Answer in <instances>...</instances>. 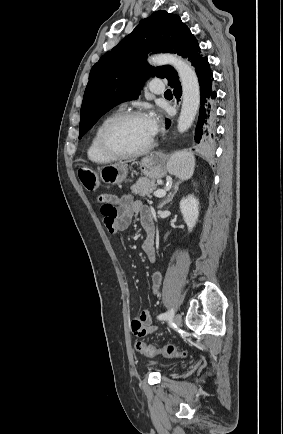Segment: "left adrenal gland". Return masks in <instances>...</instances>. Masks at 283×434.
I'll return each mask as SVG.
<instances>
[{"instance_id":"a2214340","label":"left adrenal gland","mask_w":283,"mask_h":434,"mask_svg":"<svg viewBox=\"0 0 283 434\" xmlns=\"http://www.w3.org/2000/svg\"><path fill=\"white\" fill-rule=\"evenodd\" d=\"M179 183H180V182L175 183V185L173 186V188H174L173 193L171 194V196H170L169 198H167L166 200H164V201H163V202L158 206L159 209H161L165 204H167V203H169V202L172 201V199L174 198L175 194H176L177 191H178Z\"/></svg>"}]
</instances>
